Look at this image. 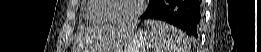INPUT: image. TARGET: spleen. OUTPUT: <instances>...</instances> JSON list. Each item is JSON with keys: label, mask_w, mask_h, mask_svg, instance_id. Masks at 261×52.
<instances>
[{"label": "spleen", "mask_w": 261, "mask_h": 52, "mask_svg": "<svg viewBox=\"0 0 261 52\" xmlns=\"http://www.w3.org/2000/svg\"><path fill=\"white\" fill-rule=\"evenodd\" d=\"M153 52H189L190 39L177 28L161 21H145Z\"/></svg>", "instance_id": "obj_1"}]
</instances>
